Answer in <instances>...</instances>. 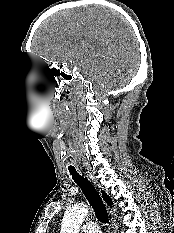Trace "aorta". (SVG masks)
Instances as JSON below:
<instances>
[{
  "label": "aorta",
  "instance_id": "762f6f07",
  "mask_svg": "<svg viewBox=\"0 0 174 233\" xmlns=\"http://www.w3.org/2000/svg\"><path fill=\"white\" fill-rule=\"evenodd\" d=\"M88 208L85 204L79 203L70 207L64 214L60 233H79Z\"/></svg>",
  "mask_w": 174,
  "mask_h": 233
}]
</instances>
